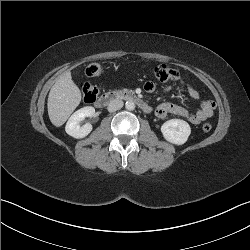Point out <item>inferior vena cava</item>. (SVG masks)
<instances>
[{
	"label": "inferior vena cava",
	"instance_id": "1",
	"mask_svg": "<svg viewBox=\"0 0 250 250\" xmlns=\"http://www.w3.org/2000/svg\"><path fill=\"white\" fill-rule=\"evenodd\" d=\"M123 101L119 99L111 100L108 104V111L109 112H115L116 110H119L123 107Z\"/></svg>",
	"mask_w": 250,
	"mask_h": 250
}]
</instances>
